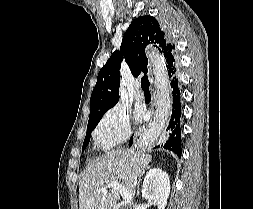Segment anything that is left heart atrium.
<instances>
[{
    "instance_id": "left-heart-atrium-1",
    "label": "left heart atrium",
    "mask_w": 253,
    "mask_h": 209,
    "mask_svg": "<svg viewBox=\"0 0 253 209\" xmlns=\"http://www.w3.org/2000/svg\"><path fill=\"white\" fill-rule=\"evenodd\" d=\"M143 116H144V114H143L142 111H138L137 114H136V118H137L138 120H141V119L143 118Z\"/></svg>"
}]
</instances>
